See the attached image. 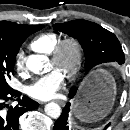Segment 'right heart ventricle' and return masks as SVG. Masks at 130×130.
Instances as JSON below:
<instances>
[{"label":"right heart ventricle","instance_id":"obj_1","mask_svg":"<svg viewBox=\"0 0 130 130\" xmlns=\"http://www.w3.org/2000/svg\"><path fill=\"white\" fill-rule=\"evenodd\" d=\"M59 40L60 37L58 34L44 32L32 39L30 47L37 52L50 54Z\"/></svg>","mask_w":130,"mask_h":130}]
</instances>
